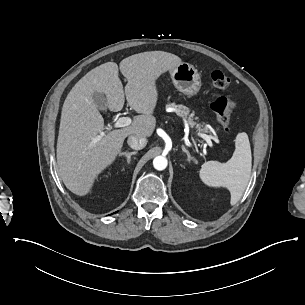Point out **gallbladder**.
I'll list each match as a JSON object with an SVG mask.
<instances>
[{
    "label": "gallbladder",
    "mask_w": 305,
    "mask_h": 305,
    "mask_svg": "<svg viewBox=\"0 0 305 305\" xmlns=\"http://www.w3.org/2000/svg\"><path fill=\"white\" fill-rule=\"evenodd\" d=\"M95 102L99 108H106V98L102 94H95Z\"/></svg>",
    "instance_id": "obj_1"
}]
</instances>
